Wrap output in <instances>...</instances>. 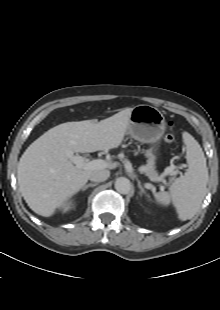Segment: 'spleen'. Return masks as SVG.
Listing matches in <instances>:
<instances>
[{"label": "spleen", "mask_w": 220, "mask_h": 310, "mask_svg": "<svg viewBox=\"0 0 220 310\" xmlns=\"http://www.w3.org/2000/svg\"><path fill=\"white\" fill-rule=\"evenodd\" d=\"M187 152L188 169L184 176L177 178L169 192H160L155 199L162 205L172 203L180 220L185 221L194 217L204 196L208 182L206 158L198 142L187 132L183 134Z\"/></svg>", "instance_id": "1"}]
</instances>
